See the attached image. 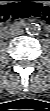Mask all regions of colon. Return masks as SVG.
<instances>
[{"label": "colon", "instance_id": "1", "mask_svg": "<svg viewBox=\"0 0 50 111\" xmlns=\"http://www.w3.org/2000/svg\"><path fill=\"white\" fill-rule=\"evenodd\" d=\"M0 17L3 22L28 17L47 21L50 18V7L42 0H13L0 8Z\"/></svg>", "mask_w": 50, "mask_h": 111}]
</instances>
